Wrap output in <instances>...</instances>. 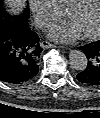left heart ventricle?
<instances>
[{
	"label": "left heart ventricle",
	"mask_w": 100,
	"mask_h": 118,
	"mask_svg": "<svg viewBox=\"0 0 100 118\" xmlns=\"http://www.w3.org/2000/svg\"><path fill=\"white\" fill-rule=\"evenodd\" d=\"M100 0H84L79 6L65 10V15L74 21L82 33L93 30L97 24Z\"/></svg>",
	"instance_id": "obj_1"
}]
</instances>
